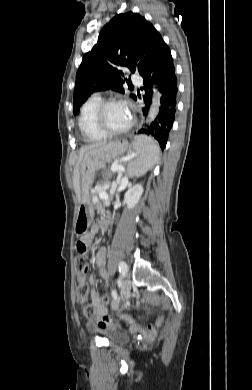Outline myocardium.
Masks as SVG:
<instances>
[{
	"instance_id": "myocardium-1",
	"label": "myocardium",
	"mask_w": 252,
	"mask_h": 390,
	"mask_svg": "<svg viewBox=\"0 0 252 390\" xmlns=\"http://www.w3.org/2000/svg\"><path fill=\"white\" fill-rule=\"evenodd\" d=\"M113 104H125L126 106H128V108L131 111L132 117H131L130 123L125 128H123L121 130H112V129L108 128L106 123H105V119H104L105 112H106L107 108ZM94 120H95V124H96V127L98 128V130L106 136H119V135L125 134V133L129 132L135 124V116L133 114V110H132L131 105L126 100L119 99V98H110L107 100H103L96 108Z\"/></svg>"
}]
</instances>
